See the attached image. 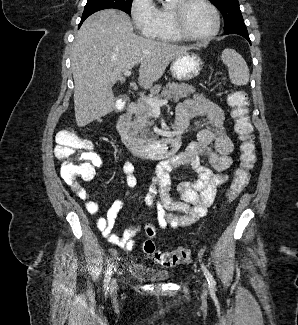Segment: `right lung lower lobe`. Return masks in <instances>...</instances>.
I'll list each match as a JSON object with an SVG mask.
<instances>
[{
    "label": "right lung lower lobe",
    "instance_id": "obj_1",
    "mask_svg": "<svg viewBox=\"0 0 298 325\" xmlns=\"http://www.w3.org/2000/svg\"><path fill=\"white\" fill-rule=\"evenodd\" d=\"M83 21H84V20H81V22H80V24H79V27H80V25L82 24Z\"/></svg>",
    "mask_w": 298,
    "mask_h": 325
}]
</instances>
